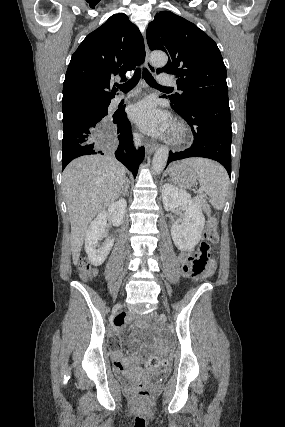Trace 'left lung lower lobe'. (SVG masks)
<instances>
[{
	"label": "left lung lower lobe",
	"mask_w": 285,
	"mask_h": 427,
	"mask_svg": "<svg viewBox=\"0 0 285 427\" xmlns=\"http://www.w3.org/2000/svg\"><path fill=\"white\" fill-rule=\"evenodd\" d=\"M171 106L190 125L194 142L189 149L169 153L168 164L189 157H204L220 162L231 176L232 129L229 105L202 100L180 108Z\"/></svg>",
	"instance_id": "left-lung-lower-lobe-1"
}]
</instances>
